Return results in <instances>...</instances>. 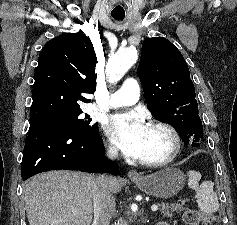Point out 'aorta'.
Here are the masks:
<instances>
[{"label": "aorta", "mask_w": 237, "mask_h": 225, "mask_svg": "<svg viewBox=\"0 0 237 225\" xmlns=\"http://www.w3.org/2000/svg\"><path fill=\"white\" fill-rule=\"evenodd\" d=\"M138 54L135 48L119 50L112 56L107 64L106 74L110 82L119 81L123 75L136 63ZM116 225V224H115ZM117 225H127L126 222H118Z\"/></svg>", "instance_id": "1"}]
</instances>
